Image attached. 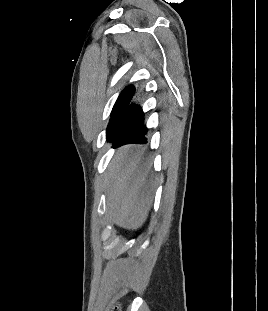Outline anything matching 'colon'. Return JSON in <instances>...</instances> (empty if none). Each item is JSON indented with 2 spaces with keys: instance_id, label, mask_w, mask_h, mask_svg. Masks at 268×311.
I'll list each match as a JSON object with an SVG mask.
<instances>
[{
  "instance_id": "1",
  "label": "colon",
  "mask_w": 268,
  "mask_h": 311,
  "mask_svg": "<svg viewBox=\"0 0 268 311\" xmlns=\"http://www.w3.org/2000/svg\"><path fill=\"white\" fill-rule=\"evenodd\" d=\"M108 311H120V306L117 303H115V304L110 306Z\"/></svg>"
}]
</instances>
